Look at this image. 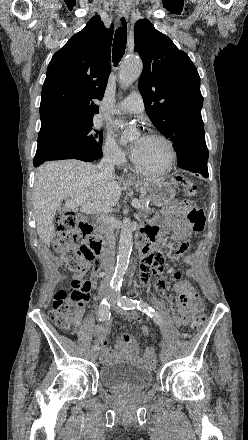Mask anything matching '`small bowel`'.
Instances as JSON below:
<instances>
[{"label":"small bowel","instance_id":"1","mask_svg":"<svg viewBox=\"0 0 248 440\" xmlns=\"http://www.w3.org/2000/svg\"><path fill=\"white\" fill-rule=\"evenodd\" d=\"M180 209L181 208L178 205L167 208L161 214L156 216L145 230L147 241L154 247L157 246L161 231L164 228H170L173 230L178 237L183 239L176 248L177 255L183 254L187 250L189 245L187 236L191 231L189 224L182 220ZM195 261L196 257L194 255H187L184 257V262L186 264L193 265ZM142 264L144 266L141 268V283H146L148 281L151 272L155 273L157 278L156 284L148 285L147 291L156 293L160 289L163 297L170 305L176 326L180 327L185 325L189 320L191 313L200 307L199 299L192 286L189 282L182 279L180 273H175L174 277L177 280L175 287L176 297L173 298L165 291L167 285L171 283V278L167 276L165 271L168 266L164 263L162 255L156 252L152 257H144L142 259ZM102 270L101 267H93L92 274L95 276L97 274L96 272H101ZM192 273L193 270L188 271V274ZM75 313L77 317H81L83 314V307H77ZM110 328V322H106L96 326L94 329L96 344L101 346V361L107 362L119 358L139 360L138 345L135 337L131 334L122 335L114 349L108 345L107 336L110 332Z\"/></svg>","mask_w":248,"mask_h":440}]
</instances>
